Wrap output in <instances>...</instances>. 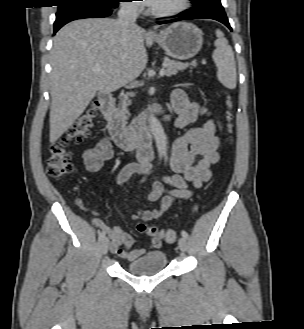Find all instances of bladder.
<instances>
[{
  "instance_id": "1",
  "label": "bladder",
  "mask_w": 304,
  "mask_h": 329,
  "mask_svg": "<svg viewBox=\"0 0 304 329\" xmlns=\"http://www.w3.org/2000/svg\"><path fill=\"white\" fill-rule=\"evenodd\" d=\"M168 264L164 251L154 250L145 252L126 264V272L135 276H148L163 271Z\"/></svg>"
}]
</instances>
